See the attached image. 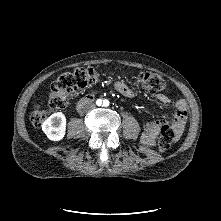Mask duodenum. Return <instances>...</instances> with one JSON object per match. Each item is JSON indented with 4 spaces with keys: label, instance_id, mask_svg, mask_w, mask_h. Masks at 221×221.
<instances>
[{
    "label": "duodenum",
    "instance_id": "duodenum-1",
    "mask_svg": "<svg viewBox=\"0 0 221 221\" xmlns=\"http://www.w3.org/2000/svg\"><path fill=\"white\" fill-rule=\"evenodd\" d=\"M93 99H94V95H92V94H89V95L84 96L83 98H81V99L78 101V103H77V105H76V109H77L78 111L83 110L90 102L93 101Z\"/></svg>",
    "mask_w": 221,
    "mask_h": 221
}]
</instances>
